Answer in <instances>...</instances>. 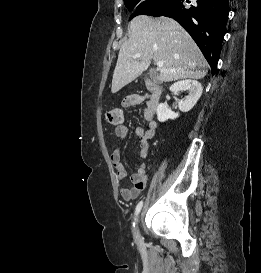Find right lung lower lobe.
I'll use <instances>...</instances> for the list:
<instances>
[{
	"instance_id": "98d812e1",
	"label": "right lung lower lobe",
	"mask_w": 261,
	"mask_h": 273,
	"mask_svg": "<svg viewBox=\"0 0 261 273\" xmlns=\"http://www.w3.org/2000/svg\"><path fill=\"white\" fill-rule=\"evenodd\" d=\"M228 13V0H171L150 15L176 20L194 39L215 74Z\"/></svg>"
}]
</instances>
